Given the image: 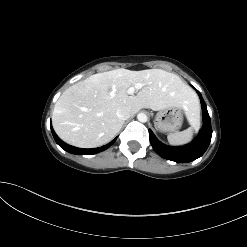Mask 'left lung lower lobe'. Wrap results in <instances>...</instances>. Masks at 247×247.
<instances>
[{
  "mask_svg": "<svg viewBox=\"0 0 247 247\" xmlns=\"http://www.w3.org/2000/svg\"><path fill=\"white\" fill-rule=\"evenodd\" d=\"M201 101L203 110V127L197 138L191 143L180 146L172 147L161 143L149 129V138L154 150L167 160L175 161L177 163H186L194 161L201 157L207 150L212 136L211 120L207 111L206 104L198 90H196Z\"/></svg>",
  "mask_w": 247,
  "mask_h": 247,
  "instance_id": "obj_1",
  "label": "left lung lower lobe"
}]
</instances>
